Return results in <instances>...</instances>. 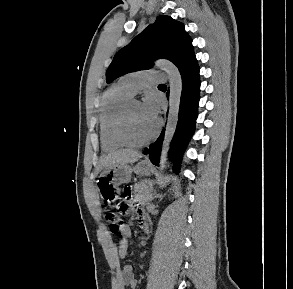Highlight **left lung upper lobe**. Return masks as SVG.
Segmentation results:
<instances>
[{
  "instance_id": "left-lung-upper-lobe-1",
  "label": "left lung upper lobe",
  "mask_w": 293,
  "mask_h": 289,
  "mask_svg": "<svg viewBox=\"0 0 293 289\" xmlns=\"http://www.w3.org/2000/svg\"><path fill=\"white\" fill-rule=\"evenodd\" d=\"M194 57L192 39L181 22L166 15L158 16L127 46L119 50L106 72V80L129 72L150 69L153 61L165 58L180 69Z\"/></svg>"
}]
</instances>
